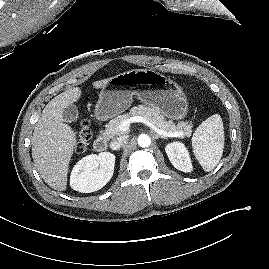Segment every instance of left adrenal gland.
I'll return each mask as SVG.
<instances>
[{"label": "left adrenal gland", "mask_w": 269, "mask_h": 269, "mask_svg": "<svg viewBox=\"0 0 269 269\" xmlns=\"http://www.w3.org/2000/svg\"><path fill=\"white\" fill-rule=\"evenodd\" d=\"M153 137H154V139H158V138L167 139L166 137H164L162 135H158V134H154Z\"/></svg>", "instance_id": "a2214340"}]
</instances>
